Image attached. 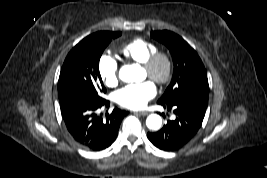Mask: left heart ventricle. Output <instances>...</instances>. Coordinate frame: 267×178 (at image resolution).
<instances>
[{"instance_id":"1","label":"left heart ventricle","mask_w":267,"mask_h":178,"mask_svg":"<svg viewBox=\"0 0 267 178\" xmlns=\"http://www.w3.org/2000/svg\"><path fill=\"white\" fill-rule=\"evenodd\" d=\"M143 71H144V76H145V77L148 76L147 72H146L145 70H143ZM162 72H163V66L160 65V66H158V68H157V70H156V74H157V75H160V74H162Z\"/></svg>"}]
</instances>
